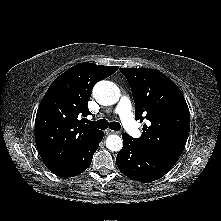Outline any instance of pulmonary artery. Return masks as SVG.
I'll return each mask as SVG.
<instances>
[{
    "label": "pulmonary artery",
    "mask_w": 221,
    "mask_h": 221,
    "mask_svg": "<svg viewBox=\"0 0 221 221\" xmlns=\"http://www.w3.org/2000/svg\"><path fill=\"white\" fill-rule=\"evenodd\" d=\"M115 113L119 116L123 127L133 138H139L141 136V130L133 117L131 102L127 97L120 99L115 108Z\"/></svg>",
    "instance_id": "pulmonary-artery-1"
}]
</instances>
